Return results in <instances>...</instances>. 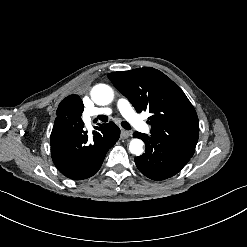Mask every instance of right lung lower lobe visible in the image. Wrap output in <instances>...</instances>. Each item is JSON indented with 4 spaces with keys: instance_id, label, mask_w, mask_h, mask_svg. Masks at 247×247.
I'll return each mask as SVG.
<instances>
[{
    "instance_id": "98d812e1",
    "label": "right lung lower lobe",
    "mask_w": 247,
    "mask_h": 247,
    "mask_svg": "<svg viewBox=\"0 0 247 247\" xmlns=\"http://www.w3.org/2000/svg\"><path fill=\"white\" fill-rule=\"evenodd\" d=\"M96 129L92 137L84 131L83 122L52 131V160L64 176L83 180L100 169L107 151L119 139L120 129L113 122L101 124Z\"/></svg>"
}]
</instances>
